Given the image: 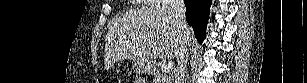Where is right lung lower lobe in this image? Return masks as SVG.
Returning a JSON list of instances; mask_svg holds the SVG:
<instances>
[{
    "instance_id": "obj_1",
    "label": "right lung lower lobe",
    "mask_w": 307,
    "mask_h": 83,
    "mask_svg": "<svg viewBox=\"0 0 307 83\" xmlns=\"http://www.w3.org/2000/svg\"><path fill=\"white\" fill-rule=\"evenodd\" d=\"M186 6V20L194 30L196 38L202 42L206 34L209 18V7L212 0H184Z\"/></svg>"
}]
</instances>
